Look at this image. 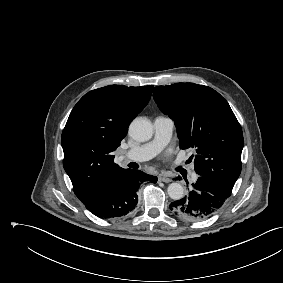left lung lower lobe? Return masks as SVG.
Returning a JSON list of instances; mask_svg holds the SVG:
<instances>
[{"label":"left lung lower lobe","instance_id":"left-lung-lower-lobe-1","mask_svg":"<svg viewBox=\"0 0 283 283\" xmlns=\"http://www.w3.org/2000/svg\"><path fill=\"white\" fill-rule=\"evenodd\" d=\"M180 179V177H177ZM233 186L206 176L192 184L185 197L172 202L170 210L180 219L201 221L212 217L231 195Z\"/></svg>","mask_w":283,"mask_h":283}]
</instances>
